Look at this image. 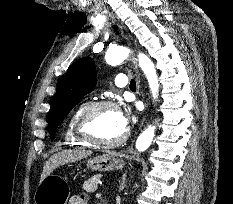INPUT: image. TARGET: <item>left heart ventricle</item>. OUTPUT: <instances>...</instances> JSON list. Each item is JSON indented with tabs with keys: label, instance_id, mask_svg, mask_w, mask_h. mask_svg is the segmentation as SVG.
Masks as SVG:
<instances>
[{
	"label": "left heart ventricle",
	"instance_id": "b2bd125f",
	"mask_svg": "<svg viewBox=\"0 0 233 204\" xmlns=\"http://www.w3.org/2000/svg\"><path fill=\"white\" fill-rule=\"evenodd\" d=\"M88 133L95 139L111 141L123 135L124 129L119 121V112L112 108L94 113L87 125Z\"/></svg>",
	"mask_w": 233,
	"mask_h": 204
}]
</instances>
